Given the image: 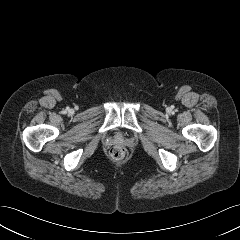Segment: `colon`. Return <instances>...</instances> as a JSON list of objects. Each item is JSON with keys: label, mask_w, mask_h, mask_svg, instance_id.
Segmentation results:
<instances>
[{"label": "colon", "mask_w": 240, "mask_h": 240, "mask_svg": "<svg viewBox=\"0 0 240 240\" xmlns=\"http://www.w3.org/2000/svg\"><path fill=\"white\" fill-rule=\"evenodd\" d=\"M109 155L114 161H122L126 158L127 152L123 146L116 145L110 149Z\"/></svg>", "instance_id": "obj_1"}]
</instances>
